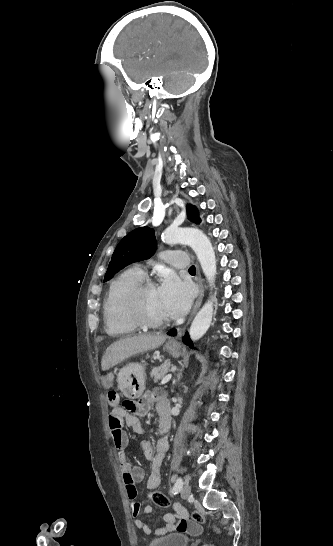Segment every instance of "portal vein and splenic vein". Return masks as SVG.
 I'll return each instance as SVG.
<instances>
[{"mask_svg": "<svg viewBox=\"0 0 333 546\" xmlns=\"http://www.w3.org/2000/svg\"><path fill=\"white\" fill-rule=\"evenodd\" d=\"M171 378H172V374L166 375V376L162 379L161 384H162V385H163V384H166L167 382H169V380H170Z\"/></svg>", "mask_w": 333, "mask_h": 546, "instance_id": "18ae733b", "label": "portal vein and splenic vein"}]
</instances>
